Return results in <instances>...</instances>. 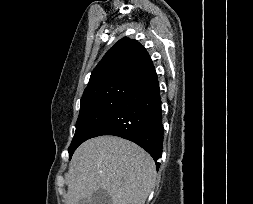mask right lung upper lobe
<instances>
[{
    "label": "right lung upper lobe",
    "mask_w": 253,
    "mask_h": 204,
    "mask_svg": "<svg viewBox=\"0 0 253 204\" xmlns=\"http://www.w3.org/2000/svg\"><path fill=\"white\" fill-rule=\"evenodd\" d=\"M153 69L146 49L136 40L122 38L95 67L84 93L118 81L138 82Z\"/></svg>",
    "instance_id": "1"
}]
</instances>
